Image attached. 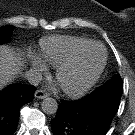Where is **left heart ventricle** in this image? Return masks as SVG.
I'll return each mask as SVG.
<instances>
[{"mask_svg":"<svg viewBox=\"0 0 135 135\" xmlns=\"http://www.w3.org/2000/svg\"><path fill=\"white\" fill-rule=\"evenodd\" d=\"M104 58L103 49L100 46L90 47L71 69L66 70L61 82L68 87H76L93 75L101 66Z\"/></svg>","mask_w":135,"mask_h":135,"instance_id":"left-heart-ventricle-1","label":"left heart ventricle"}]
</instances>
